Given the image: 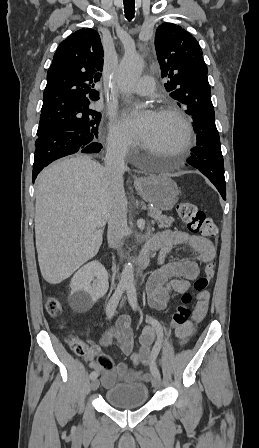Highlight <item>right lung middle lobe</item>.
Returning a JSON list of instances; mask_svg holds the SVG:
<instances>
[{
	"label": "right lung middle lobe",
	"mask_w": 259,
	"mask_h": 448,
	"mask_svg": "<svg viewBox=\"0 0 259 448\" xmlns=\"http://www.w3.org/2000/svg\"><path fill=\"white\" fill-rule=\"evenodd\" d=\"M100 119L101 113L92 109L91 106L41 114L37 136L41 137L51 132L67 131L82 135L87 138L88 142H93L98 138Z\"/></svg>",
	"instance_id": "obj_1"
}]
</instances>
